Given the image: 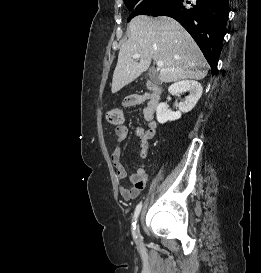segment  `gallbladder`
I'll use <instances>...</instances> for the list:
<instances>
[{"mask_svg": "<svg viewBox=\"0 0 261 273\" xmlns=\"http://www.w3.org/2000/svg\"><path fill=\"white\" fill-rule=\"evenodd\" d=\"M148 76L151 79V81L153 82H158V76H157V72L154 69H150L148 72Z\"/></svg>", "mask_w": 261, "mask_h": 273, "instance_id": "bac80fb5", "label": "gallbladder"}]
</instances>
